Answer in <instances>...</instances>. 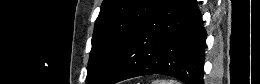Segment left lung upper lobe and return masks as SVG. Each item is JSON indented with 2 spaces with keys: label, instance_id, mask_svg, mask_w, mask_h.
Here are the masks:
<instances>
[{
  "label": "left lung upper lobe",
  "instance_id": "5c2ea615",
  "mask_svg": "<svg viewBox=\"0 0 260 84\" xmlns=\"http://www.w3.org/2000/svg\"><path fill=\"white\" fill-rule=\"evenodd\" d=\"M158 0H104L95 23L87 84H102Z\"/></svg>",
  "mask_w": 260,
  "mask_h": 84
}]
</instances>
